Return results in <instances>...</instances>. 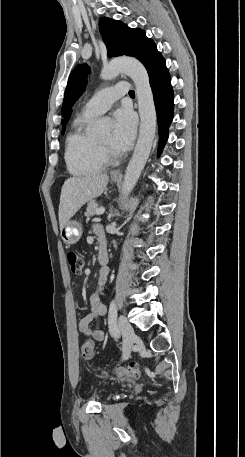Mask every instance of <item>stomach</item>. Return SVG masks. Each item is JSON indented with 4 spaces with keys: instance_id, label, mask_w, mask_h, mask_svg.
I'll list each match as a JSON object with an SVG mask.
<instances>
[{
    "instance_id": "stomach-1",
    "label": "stomach",
    "mask_w": 245,
    "mask_h": 457,
    "mask_svg": "<svg viewBox=\"0 0 245 457\" xmlns=\"http://www.w3.org/2000/svg\"><path fill=\"white\" fill-rule=\"evenodd\" d=\"M112 180H119V178H112ZM61 239L64 241L65 245H75L78 243L82 235V224L77 222V220H67L64 224L63 229H61Z\"/></svg>"
}]
</instances>
